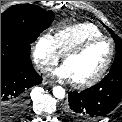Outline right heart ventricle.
Returning a JSON list of instances; mask_svg holds the SVG:
<instances>
[{
	"mask_svg": "<svg viewBox=\"0 0 122 122\" xmlns=\"http://www.w3.org/2000/svg\"><path fill=\"white\" fill-rule=\"evenodd\" d=\"M98 36H103V33L97 26L92 23L83 22L57 29L53 39L57 50L63 55L81 42Z\"/></svg>",
	"mask_w": 122,
	"mask_h": 122,
	"instance_id": "1",
	"label": "right heart ventricle"
}]
</instances>
